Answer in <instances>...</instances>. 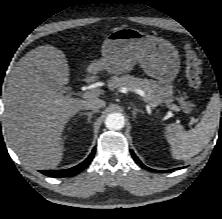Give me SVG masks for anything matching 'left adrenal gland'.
Instances as JSON below:
<instances>
[{"label": "left adrenal gland", "instance_id": "obj_1", "mask_svg": "<svg viewBox=\"0 0 222 219\" xmlns=\"http://www.w3.org/2000/svg\"><path fill=\"white\" fill-rule=\"evenodd\" d=\"M132 106H133L132 115H133L134 118H136V115H137L138 113H143L142 110H141V109H138L134 104H132Z\"/></svg>", "mask_w": 222, "mask_h": 219}]
</instances>
